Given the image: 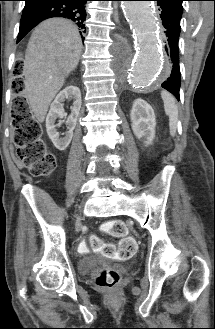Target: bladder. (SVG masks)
Here are the masks:
<instances>
[{"instance_id":"1","label":"bladder","mask_w":215,"mask_h":329,"mask_svg":"<svg viewBox=\"0 0 215 329\" xmlns=\"http://www.w3.org/2000/svg\"><path fill=\"white\" fill-rule=\"evenodd\" d=\"M101 262L100 257L86 256L78 261V271L80 274L85 275L93 271Z\"/></svg>"}]
</instances>
